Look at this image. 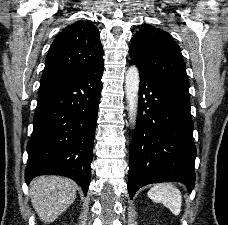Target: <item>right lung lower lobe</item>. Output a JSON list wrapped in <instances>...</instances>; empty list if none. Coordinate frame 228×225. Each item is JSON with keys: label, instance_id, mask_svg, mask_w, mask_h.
<instances>
[{"label": "right lung lower lobe", "instance_id": "right-lung-lower-lobe-1", "mask_svg": "<svg viewBox=\"0 0 228 225\" xmlns=\"http://www.w3.org/2000/svg\"><path fill=\"white\" fill-rule=\"evenodd\" d=\"M102 74L103 61L78 74L41 83L27 144V184L38 175H62L87 193Z\"/></svg>", "mask_w": 228, "mask_h": 225}]
</instances>
